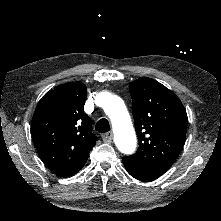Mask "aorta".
Here are the masks:
<instances>
[{
	"label": "aorta",
	"instance_id": "1",
	"mask_svg": "<svg viewBox=\"0 0 221 221\" xmlns=\"http://www.w3.org/2000/svg\"><path fill=\"white\" fill-rule=\"evenodd\" d=\"M104 111L111 120L114 142L118 150L124 154L134 153L137 139L124 101L118 96H112L104 105Z\"/></svg>",
	"mask_w": 221,
	"mask_h": 221
}]
</instances>
